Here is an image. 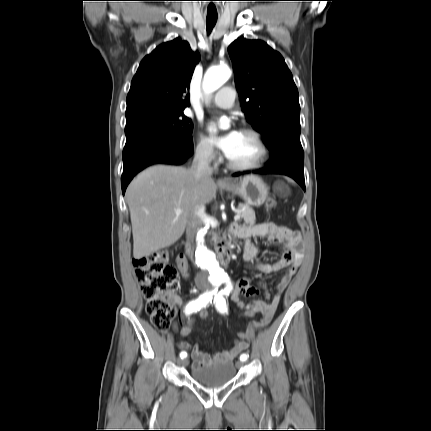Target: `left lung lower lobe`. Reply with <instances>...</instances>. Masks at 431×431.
<instances>
[{
  "label": "left lung lower lobe",
  "instance_id": "0a47b994",
  "mask_svg": "<svg viewBox=\"0 0 431 431\" xmlns=\"http://www.w3.org/2000/svg\"><path fill=\"white\" fill-rule=\"evenodd\" d=\"M268 167L254 171L260 174H284L296 180L305 190L304 180V152L293 149H283L271 156L267 162ZM249 172H238L234 176Z\"/></svg>",
  "mask_w": 431,
  "mask_h": 431
}]
</instances>
